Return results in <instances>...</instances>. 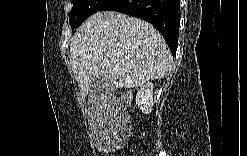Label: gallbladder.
I'll return each mask as SVG.
<instances>
[{"mask_svg":"<svg viewBox=\"0 0 247 156\" xmlns=\"http://www.w3.org/2000/svg\"><path fill=\"white\" fill-rule=\"evenodd\" d=\"M96 88V89H104L106 93L112 92L115 90L114 86L111 85L104 76L98 77L92 84H91V89Z\"/></svg>","mask_w":247,"mask_h":156,"instance_id":"1","label":"gallbladder"}]
</instances>
